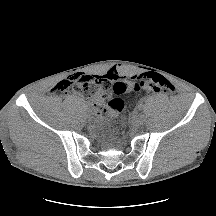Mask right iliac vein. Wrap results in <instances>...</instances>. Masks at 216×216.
<instances>
[{"label": "right iliac vein", "mask_w": 216, "mask_h": 216, "mask_svg": "<svg viewBox=\"0 0 216 216\" xmlns=\"http://www.w3.org/2000/svg\"><path fill=\"white\" fill-rule=\"evenodd\" d=\"M92 118H93L92 115H91V114H88V119H89V120H92Z\"/></svg>", "instance_id": "right-iliac-vein-1"}]
</instances>
